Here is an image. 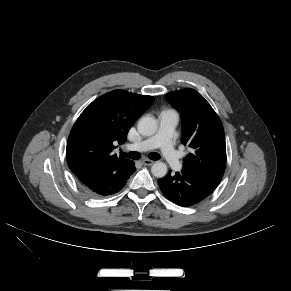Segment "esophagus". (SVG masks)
Listing matches in <instances>:
<instances>
[{
  "mask_svg": "<svg viewBox=\"0 0 291 291\" xmlns=\"http://www.w3.org/2000/svg\"><path fill=\"white\" fill-rule=\"evenodd\" d=\"M154 163V161L150 160V159H143L142 160V164L146 165V166H151Z\"/></svg>",
  "mask_w": 291,
  "mask_h": 291,
  "instance_id": "34e87169",
  "label": "esophagus"
}]
</instances>
